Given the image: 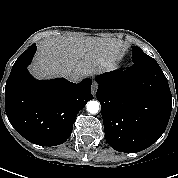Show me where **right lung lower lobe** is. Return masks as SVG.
<instances>
[{"label":"right lung lower lobe","mask_w":178,"mask_h":178,"mask_svg":"<svg viewBox=\"0 0 178 178\" xmlns=\"http://www.w3.org/2000/svg\"><path fill=\"white\" fill-rule=\"evenodd\" d=\"M32 44L14 63L5 88L9 122L26 140L56 146L71 135L78 112L93 99L92 80H36L27 70L36 51Z\"/></svg>","instance_id":"right-lung-lower-lobe-1"}]
</instances>
